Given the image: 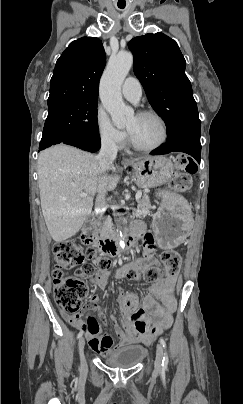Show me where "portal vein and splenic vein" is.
Instances as JSON below:
<instances>
[{
	"mask_svg": "<svg viewBox=\"0 0 243 404\" xmlns=\"http://www.w3.org/2000/svg\"><path fill=\"white\" fill-rule=\"evenodd\" d=\"M87 194H80V198H86ZM142 196V192H136V200H139V198H141Z\"/></svg>",
	"mask_w": 243,
	"mask_h": 404,
	"instance_id": "1",
	"label": "portal vein and splenic vein"
}]
</instances>
